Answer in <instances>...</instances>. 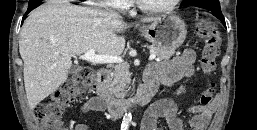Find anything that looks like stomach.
I'll use <instances>...</instances> for the list:
<instances>
[{
    "label": "stomach",
    "instance_id": "0dacf381",
    "mask_svg": "<svg viewBox=\"0 0 257 130\" xmlns=\"http://www.w3.org/2000/svg\"><path fill=\"white\" fill-rule=\"evenodd\" d=\"M141 35L154 46L176 49L184 42L187 34L185 22L175 14L157 18L140 28Z\"/></svg>",
    "mask_w": 257,
    "mask_h": 130
}]
</instances>
